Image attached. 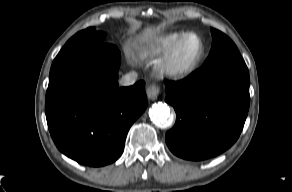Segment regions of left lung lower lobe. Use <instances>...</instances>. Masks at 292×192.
Wrapping results in <instances>:
<instances>
[{
  "instance_id": "left-lung-lower-lobe-1",
  "label": "left lung lower lobe",
  "mask_w": 292,
  "mask_h": 192,
  "mask_svg": "<svg viewBox=\"0 0 292 192\" xmlns=\"http://www.w3.org/2000/svg\"><path fill=\"white\" fill-rule=\"evenodd\" d=\"M249 83L244 60L202 66L181 81L166 80V102L177 116L165 135L172 153L197 161L230 148L247 117Z\"/></svg>"
}]
</instances>
